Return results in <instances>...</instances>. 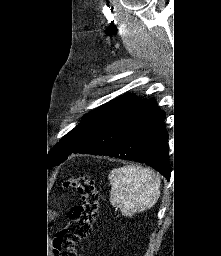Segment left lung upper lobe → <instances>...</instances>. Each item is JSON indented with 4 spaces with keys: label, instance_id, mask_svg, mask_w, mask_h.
Listing matches in <instances>:
<instances>
[{
    "label": "left lung upper lobe",
    "instance_id": "left-lung-upper-lobe-1",
    "mask_svg": "<svg viewBox=\"0 0 221 256\" xmlns=\"http://www.w3.org/2000/svg\"><path fill=\"white\" fill-rule=\"evenodd\" d=\"M143 100H137L134 94L120 96L85 115L80 124L68 132L48 153L47 167L59 165L74 150L107 122L127 114L138 107Z\"/></svg>",
    "mask_w": 221,
    "mask_h": 256
}]
</instances>
